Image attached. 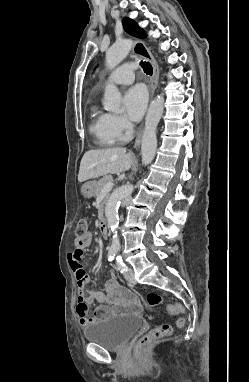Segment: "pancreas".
Returning a JSON list of instances; mask_svg holds the SVG:
<instances>
[{
	"mask_svg": "<svg viewBox=\"0 0 249 382\" xmlns=\"http://www.w3.org/2000/svg\"><path fill=\"white\" fill-rule=\"evenodd\" d=\"M113 181V178L111 175H105L103 178L100 179V181L97 183L96 185V189H95V196H98L102 190L104 189L105 185L108 183V182H112ZM109 198V194H106L105 198H104V201L103 203L101 204V206L99 207V210H98V217L101 219L102 216H103V205L104 203L107 201V199Z\"/></svg>",
	"mask_w": 249,
	"mask_h": 382,
	"instance_id": "pancreas-1",
	"label": "pancreas"
}]
</instances>
